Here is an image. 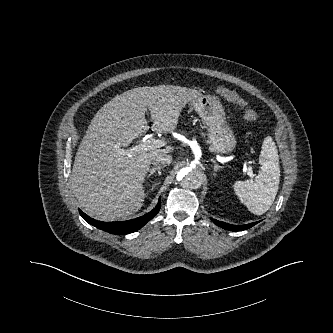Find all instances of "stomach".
Here are the masks:
<instances>
[{"label": "stomach", "instance_id": "1", "mask_svg": "<svg viewBox=\"0 0 333 333\" xmlns=\"http://www.w3.org/2000/svg\"><path fill=\"white\" fill-rule=\"evenodd\" d=\"M190 104L206 126L210 149L217 153H230L236 146V138L226 121L219 98L200 94Z\"/></svg>", "mask_w": 333, "mask_h": 333}]
</instances>
